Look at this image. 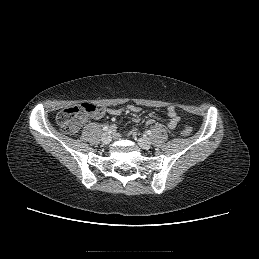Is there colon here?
Returning a JSON list of instances; mask_svg holds the SVG:
<instances>
[{"instance_id":"colon-1","label":"colon","mask_w":259,"mask_h":259,"mask_svg":"<svg viewBox=\"0 0 259 259\" xmlns=\"http://www.w3.org/2000/svg\"><path fill=\"white\" fill-rule=\"evenodd\" d=\"M97 110L91 103H81L61 110L56 117V121L61 130L66 134L76 133L85 119ZM183 136H190L192 128L188 125L181 130Z\"/></svg>"}]
</instances>
